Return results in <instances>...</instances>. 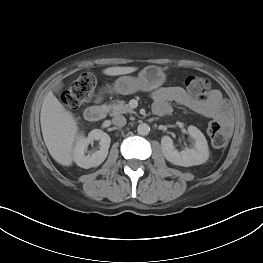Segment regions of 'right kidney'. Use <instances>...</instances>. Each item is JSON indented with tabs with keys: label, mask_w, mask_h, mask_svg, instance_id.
Instances as JSON below:
<instances>
[{
	"label": "right kidney",
	"mask_w": 263,
	"mask_h": 263,
	"mask_svg": "<svg viewBox=\"0 0 263 263\" xmlns=\"http://www.w3.org/2000/svg\"><path fill=\"white\" fill-rule=\"evenodd\" d=\"M94 140H99L100 149L91 155H85L88 145ZM110 142V136L99 129L90 131L87 137L80 135L76 141L73 151V159L75 163L84 169L99 166L108 155Z\"/></svg>",
	"instance_id": "1"
}]
</instances>
